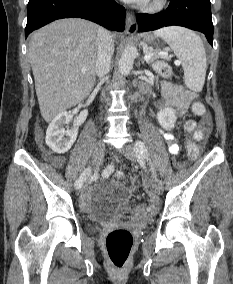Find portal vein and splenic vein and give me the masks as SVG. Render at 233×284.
I'll use <instances>...</instances> for the list:
<instances>
[{"label":"portal vein and splenic vein","mask_w":233,"mask_h":284,"mask_svg":"<svg viewBox=\"0 0 233 284\" xmlns=\"http://www.w3.org/2000/svg\"><path fill=\"white\" fill-rule=\"evenodd\" d=\"M159 55L162 56V57H167L168 54H167L166 52H160ZM151 57H152V54H151V53H146L145 56H144V60H145V61H149V60L151 59ZM175 64L178 65V64H179V61H176ZM81 71H82L83 73H85V72H86V69H82Z\"/></svg>","instance_id":"portal-vein-and-splenic-vein-1"}]
</instances>
